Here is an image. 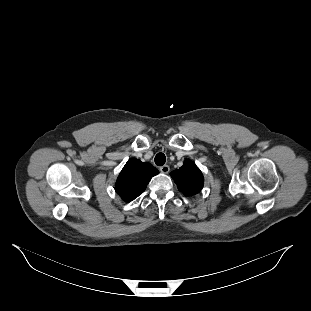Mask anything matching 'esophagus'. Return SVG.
I'll return each instance as SVG.
<instances>
[{
  "mask_svg": "<svg viewBox=\"0 0 311 311\" xmlns=\"http://www.w3.org/2000/svg\"><path fill=\"white\" fill-rule=\"evenodd\" d=\"M170 170V167L168 165H164L162 167H160V171L163 173V174H167Z\"/></svg>",
  "mask_w": 311,
  "mask_h": 311,
  "instance_id": "1",
  "label": "esophagus"
}]
</instances>
